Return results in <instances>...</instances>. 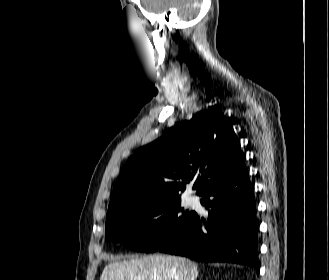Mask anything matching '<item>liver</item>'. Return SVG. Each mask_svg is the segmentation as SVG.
Segmentation results:
<instances>
[{
  "mask_svg": "<svg viewBox=\"0 0 329 280\" xmlns=\"http://www.w3.org/2000/svg\"><path fill=\"white\" fill-rule=\"evenodd\" d=\"M197 264L185 257L150 255L142 258L116 257L107 264L100 280H196Z\"/></svg>",
  "mask_w": 329,
  "mask_h": 280,
  "instance_id": "liver-1",
  "label": "liver"
}]
</instances>
